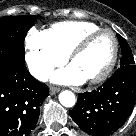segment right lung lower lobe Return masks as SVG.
Here are the masks:
<instances>
[{"label": "right lung lower lobe", "instance_id": "right-lung-lower-lobe-1", "mask_svg": "<svg viewBox=\"0 0 136 136\" xmlns=\"http://www.w3.org/2000/svg\"><path fill=\"white\" fill-rule=\"evenodd\" d=\"M48 95L47 85L33 78L24 64L0 63V136H28Z\"/></svg>", "mask_w": 136, "mask_h": 136}]
</instances>
